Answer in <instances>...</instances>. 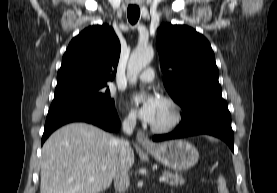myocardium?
<instances>
[{
  "mask_svg": "<svg viewBox=\"0 0 277 193\" xmlns=\"http://www.w3.org/2000/svg\"><path fill=\"white\" fill-rule=\"evenodd\" d=\"M162 101L166 102L172 109V117L166 124L154 125L151 124L150 128L156 133H167L174 130L182 121L183 112L180 104L169 96L162 97Z\"/></svg>",
  "mask_w": 277,
  "mask_h": 193,
  "instance_id": "1",
  "label": "myocardium"
}]
</instances>
